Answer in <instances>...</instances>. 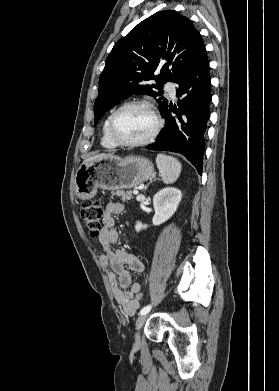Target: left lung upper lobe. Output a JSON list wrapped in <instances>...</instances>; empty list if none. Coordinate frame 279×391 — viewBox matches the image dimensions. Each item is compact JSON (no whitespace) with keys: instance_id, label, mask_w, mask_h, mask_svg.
<instances>
[{"instance_id":"obj_1","label":"left lung upper lobe","mask_w":279,"mask_h":391,"mask_svg":"<svg viewBox=\"0 0 279 391\" xmlns=\"http://www.w3.org/2000/svg\"><path fill=\"white\" fill-rule=\"evenodd\" d=\"M202 48L203 40L191 20L175 11H160L140 22L114 45L106 59L94 104V123L133 94L152 96L162 114L168 100L156 90L167 81L176 83Z\"/></svg>"}]
</instances>
